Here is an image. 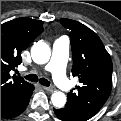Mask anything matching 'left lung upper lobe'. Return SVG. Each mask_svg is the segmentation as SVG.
<instances>
[{
	"label": "left lung upper lobe",
	"mask_w": 121,
	"mask_h": 121,
	"mask_svg": "<svg viewBox=\"0 0 121 121\" xmlns=\"http://www.w3.org/2000/svg\"><path fill=\"white\" fill-rule=\"evenodd\" d=\"M71 30L72 75L80 86L70 91L65 109L81 120L93 117L108 99L112 88V61L98 35L80 22L61 18Z\"/></svg>",
	"instance_id": "left-lung-upper-lobe-1"
}]
</instances>
